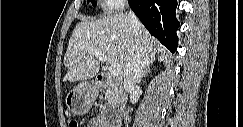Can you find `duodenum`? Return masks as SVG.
Masks as SVG:
<instances>
[{"label": "duodenum", "instance_id": "obj_1", "mask_svg": "<svg viewBox=\"0 0 243 127\" xmlns=\"http://www.w3.org/2000/svg\"><path fill=\"white\" fill-rule=\"evenodd\" d=\"M95 84L98 88H112L113 90H120L121 85L120 82L113 79L111 76L105 73L98 74L96 76ZM100 125L102 127H106L104 125V120L100 119Z\"/></svg>", "mask_w": 243, "mask_h": 127}]
</instances>
